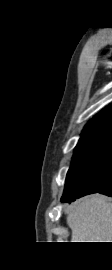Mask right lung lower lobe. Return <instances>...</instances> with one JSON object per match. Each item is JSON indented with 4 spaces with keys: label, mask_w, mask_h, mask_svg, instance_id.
<instances>
[{
    "label": "right lung lower lobe",
    "mask_w": 112,
    "mask_h": 270,
    "mask_svg": "<svg viewBox=\"0 0 112 270\" xmlns=\"http://www.w3.org/2000/svg\"><path fill=\"white\" fill-rule=\"evenodd\" d=\"M82 184L85 187V192L82 196L99 192L112 197V145L101 162L92 171L83 176ZM67 202H72V200Z\"/></svg>",
    "instance_id": "98d812e1"
}]
</instances>
